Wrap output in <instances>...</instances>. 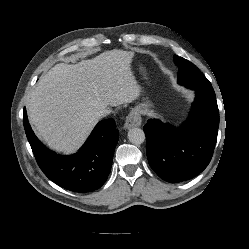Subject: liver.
Returning a JSON list of instances; mask_svg holds the SVG:
<instances>
[{
	"instance_id": "1",
	"label": "liver",
	"mask_w": 249,
	"mask_h": 249,
	"mask_svg": "<svg viewBox=\"0 0 249 249\" xmlns=\"http://www.w3.org/2000/svg\"><path fill=\"white\" fill-rule=\"evenodd\" d=\"M133 57L132 52L112 50L51 68L26 103L39 137L52 149L75 152L98 122V111L138 99L142 88L131 69Z\"/></svg>"
}]
</instances>
